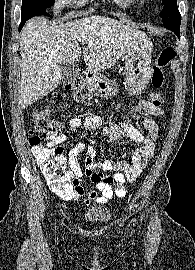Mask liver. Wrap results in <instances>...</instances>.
Masks as SVG:
<instances>
[{
	"instance_id": "obj_1",
	"label": "liver",
	"mask_w": 195,
	"mask_h": 270,
	"mask_svg": "<svg viewBox=\"0 0 195 270\" xmlns=\"http://www.w3.org/2000/svg\"><path fill=\"white\" fill-rule=\"evenodd\" d=\"M143 31L116 19L91 16L60 23L43 17L31 19L20 36L21 85L19 103L26 108L57 88L61 82L60 64H74L81 56L91 73L115 65Z\"/></svg>"
}]
</instances>
